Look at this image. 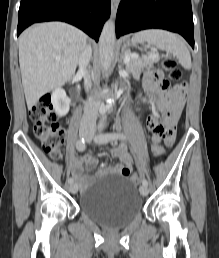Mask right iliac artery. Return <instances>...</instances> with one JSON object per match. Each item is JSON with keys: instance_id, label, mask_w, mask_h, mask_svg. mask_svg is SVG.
Listing matches in <instances>:
<instances>
[{"instance_id": "obj_1", "label": "right iliac artery", "mask_w": 219, "mask_h": 258, "mask_svg": "<svg viewBox=\"0 0 219 258\" xmlns=\"http://www.w3.org/2000/svg\"><path fill=\"white\" fill-rule=\"evenodd\" d=\"M76 147H77L78 151H81V152H82V151L85 150L86 144H85L84 138H81V139H79V140L77 141ZM73 182H74V179H73L72 177H70V178L68 179V183H69V184H72Z\"/></svg>"}]
</instances>
